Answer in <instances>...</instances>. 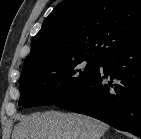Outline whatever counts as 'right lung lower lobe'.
I'll return each instance as SVG.
<instances>
[{
    "label": "right lung lower lobe",
    "mask_w": 141,
    "mask_h": 139,
    "mask_svg": "<svg viewBox=\"0 0 141 139\" xmlns=\"http://www.w3.org/2000/svg\"><path fill=\"white\" fill-rule=\"evenodd\" d=\"M100 66L104 75L98 69L85 85L55 105L141 138V41L108 54Z\"/></svg>",
    "instance_id": "right-lung-lower-lobe-1"
}]
</instances>
